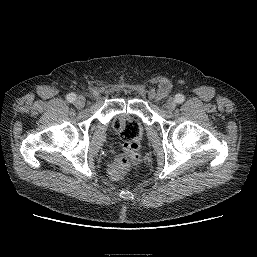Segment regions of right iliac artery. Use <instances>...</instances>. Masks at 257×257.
Wrapping results in <instances>:
<instances>
[{
	"instance_id": "1",
	"label": "right iliac artery",
	"mask_w": 257,
	"mask_h": 257,
	"mask_svg": "<svg viewBox=\"0 0 257 257\" xmlns=\"http://www.w3.org/2000/svg\"><path fill=\"white\" fill-rule=\"evenodd\" d=\"M66 98L69 102L73 103L76 99V95L74 93H70V94L67 95Z\"/></svg>"
}]
</instances>
